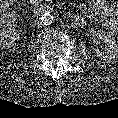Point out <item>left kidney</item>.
<instances>
[{
	"label": "left kidney",
	"instance_id": "left-kidney-1",
	"mask_svg": "<svg viewBox=\"0 0 118 118\" xmlns=\"http://www.w3.org/2000/svg\"><path fill=\"white\" fill-rule=\"evenodd\" d=\"M98 38L103 40L107 46L104 51L94 48V54L104 61H110L118 56V41L108 32L101 31L98 33Z\"/></svg>",
	"mask_w": 118,
	"mask_h": 118
}]
</instances>
